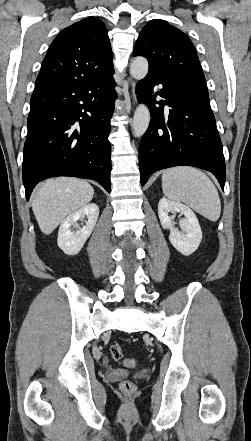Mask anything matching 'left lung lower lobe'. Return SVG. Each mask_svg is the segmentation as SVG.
Here are the masks:
<instances>
[{"label": "left lung lower lobe", "mask_w": 251, "mask_h": 441, "mask_svg": "<svg viewBox=\"0 0 251 441\" xmlns=\"http://www.w3.org/2000/svg\"><path fill=\"white\" fill-rule=\"evenodd\" d=\"M162 88L154 94L155 85ZM151 122L139 146L141 185L158 170L187 165L212 172L222 189L226 179L222 143L206 85L170 75L149 73L136 86ZM163 99L156 101V96ZM157 104V106H156ZM170 107L164 113V106Z\"/></svg>", "instance_id": "left-lung-lower-lobe-1"}]
</instances>
